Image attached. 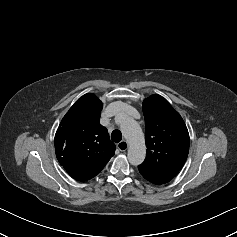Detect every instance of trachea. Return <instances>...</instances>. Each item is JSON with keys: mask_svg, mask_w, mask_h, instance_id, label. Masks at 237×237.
Returning <instances> with one entry per match:
<instances>
[{"mask_svg": "<svg viewBox=\"0 0 237 237\" xmlns=\"http://www.w3.org/2000/svg\"><path fill=\"white\" fill-rule=\"evenodd\" d=\"M111 139L118 143L122 140V134L119 130H114L112 133H111Z\"/></svg>", "mask_w": 237, "mask_h": 237, "instance_id": "1", "label": "trachea"}]
</instances>
